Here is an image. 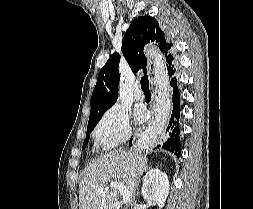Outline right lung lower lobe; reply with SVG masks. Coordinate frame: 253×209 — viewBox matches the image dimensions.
Instances as JSON below:
<instances>
[{
    "mask_svg": "<svg viewBox=\"0 0 253 209\" xmlns=\"http://www.w3.org/2000/svg\"><path fill=\"white\" fill-rule=\"evenodd\" d=\"M175 70L169 73L170 86L172 88V101L173 109L171 115L163 126V129L159 135V144L157 148L162 147L168 151L173 152L178 157L180 156V92L177 86V79L174 76ZM132 144V138L129 141V146Z\"/></svg>",
    "mask_w": 253,
    "mask_h": 209,
    "instance_id": "1",
    "label": "right lung lower lobe"
}]
</instances>
